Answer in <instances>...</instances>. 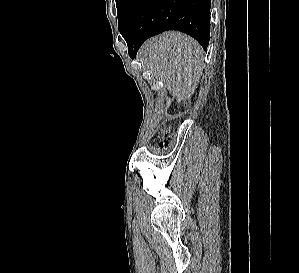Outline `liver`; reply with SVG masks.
Returning <instances> with one entry per match:
<instances>
[{
  "instance_id": "1",
  "label": "liver",
  "mask_w": 299,
  "mask_h": 273,
  "mask_svg": "<svg viewBox=\"0 0 299 273\" xmlns=\"http://www.w3.org/2000/svg\"><path fill=\"white\" fill-rule=\"evenodd\" d=\"M139 55L178 103L194 93L203 70V50L193 38L166 32L145 42Z\"/></svg>"
}]
</instances>
